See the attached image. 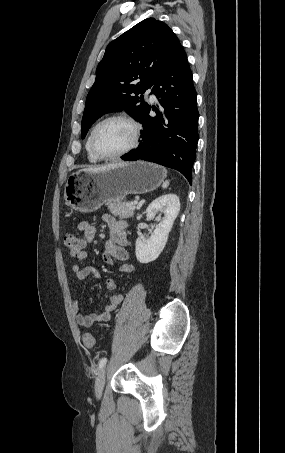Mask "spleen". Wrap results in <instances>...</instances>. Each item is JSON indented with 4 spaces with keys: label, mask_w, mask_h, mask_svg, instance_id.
I'll return each instance as SVG.
<instances>
[{
    "label": "spleen",
    "mask_w": 285,
    "mask_h": 453,
    "mask_svg": "<svg viewBox=\"0 0 285 453\" xmlns=\"http://www.w3.org/2000/svg\"><path fill=\"white\" fill-rule=\"evenodd\" d=\"M169 185V181H165L162 185L163 188H167V186Z\"/></svg>",
    "instance_id": "spleen-1"
}]
</instances>
